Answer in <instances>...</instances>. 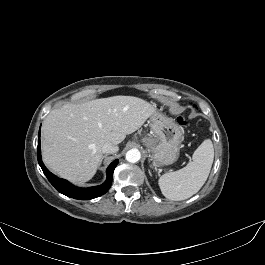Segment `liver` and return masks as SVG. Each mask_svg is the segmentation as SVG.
<instances>
[{
	"label": "liver",
	"mask_w": 265,
	"mask_h": 265,
	"mask_svg": "<svg viewBox=\"0 0 265 265\" xmlns=\"http://www.w3.org/2000/svg\"><path fill=\"white\" fill-rule=\"evenodd\" d=\"M155 113V105L134 96L65 104L43 122V161L58 176L85 183L96 173L103 145L117 146Z\"/></svg>",
	"instance_id": "1"
}]
</instances>
